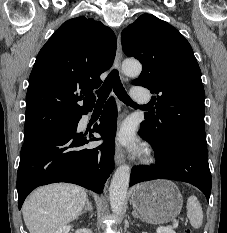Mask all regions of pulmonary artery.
Masks as SVG:
<instances>
[{"instance_id": "1", "label": "pulmonary artery", "mask_w": 227, "mask_h": 233, "mask_svg": "<svg viewBox=\"0 0 227 233\" xmlns=\"http://www.w3.org/2000/svg\"><path fill=\"white\" fill-rule=\"evenodd\" d=\"M132 96L135 100H137L139 102H142V103L147 102V98L140 90L133 89Z\"/></svg>"}]
</instances>
